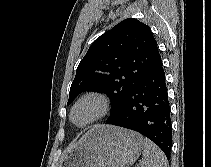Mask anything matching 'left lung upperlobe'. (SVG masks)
Wrapping results in <instances>:
<instances>
[{"instance_id":"5c2ea615","label":"left lung upper lobe","mask_w":211,"mask_h":167,"mask_svg":"<svg viewBox=\"0 0 211 167\" xmlns=\"http://www.w3.org/2000/svg\"><path fill=\"white\" fill-rule=\"evenodd\" d=\"M158 55L149 26L134 18L121 21L98 37L79 63L67 105L82 91L103 92L111 98L108 119L115 117Z\"/></svg>"}]
</instances>
